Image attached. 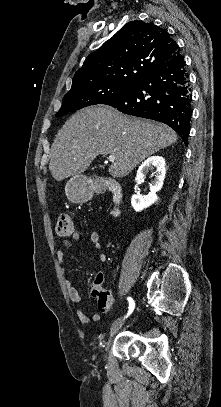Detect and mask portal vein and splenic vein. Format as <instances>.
I'll list each match as a JSON object with an SVG mask.
<instances>
[{"label": "portal vein and splenic vein", "mask_w": 221, "mask_h": 407, "mask_svg": "<svg viewBox=\"0 0 221 407\" xmlns=\"http://www.w3.org/2000/svg\"><path fill=\"white\" fill-rule=\"evenodd\" d=\"M108 160L110 162H114L115 161V156L114 155H109Z\"/></svg>", "instance_id": "18ae733b"}]
</instances>
